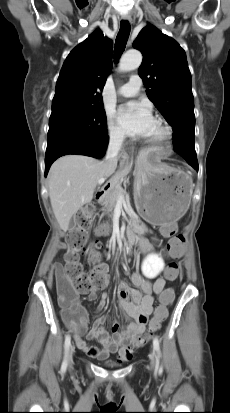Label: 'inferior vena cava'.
I'll return each mask as SVG.
<instances>
[{
    "label": "inferior vena cava",
    "mask_w": 230,
    "mask_h": 413,
    "mask_svg": "<svg viewBox=\"0 0 230 413\" xmlns=\"http://www.w3.org/2000/svg\"><path fill=\"white\" fill-rule=\"evenodd\" d=\"M123 140H124L123 132L118 131L111 135L108 148L106 151V158L104 160L108 165L114 166V167L117 166V161H118L117 156L121 149Z\"/></svg>",
    "instance_id": "inferior-vena-cava-1"
}]
</instances>
